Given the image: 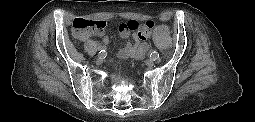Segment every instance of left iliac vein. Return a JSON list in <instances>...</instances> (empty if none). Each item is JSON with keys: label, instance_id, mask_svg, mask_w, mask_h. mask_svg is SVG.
<instances>
[{"label": "left iliac vein", "instance_id": "1", "mask_svg": "<svg viewBox=\"0 0 255 122\" xmlns=\"http://www.w3.org/2000/svg\"><path fill=\"white\" fill-rule=\"evenodd\" d=\"M146 65L149 66V67H152L154 65V61L152 59H147L145 61Z\"/></svg>", "mask_w": 255, "mask_h": 122}]
</instances>
